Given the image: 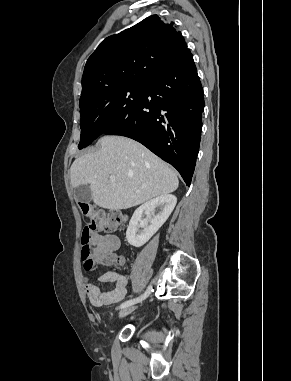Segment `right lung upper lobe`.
<instances>
[{
    "mask_svg": "<svg viewBox=\"0 0 291 381\" xmlns=\"http://www.w3.org/2000/svg\"><path fill=\"white\" fill-rule=\"evenodd\" d=\"M186 48L174 23L158 15L107 37L86 62L80 103L108 88L147 83Z\"/></svg>",
    "mask_w": 291,
    "mask_h": 381,
    "instance_id": "1",
    "label": "right lung upper lobe"
}]
</instances>
